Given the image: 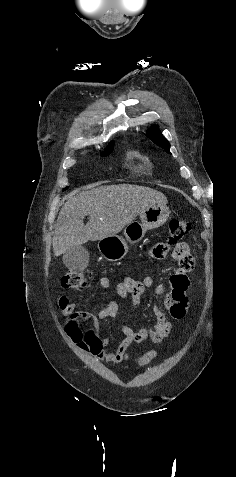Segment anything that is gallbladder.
Returning a JSON list of instances; mask_svg holds the SVG:
<instances>
[{
  "label": "gallbladder",
  "mask_w": 236,
  "mask_h": 477,
  "mask_svg": "<svg viewBox=\"0 0 236 477\" xmlns=\"http://www.w3.org/2000/svg\"><path fill=\"white\" fill-rule=\"evenodd\" d=\"M89 262V253L83 246H73L63 254V263L73 271L86 268Z\"/></svg>",
  "instance_id": "1"
}]
</instances>
